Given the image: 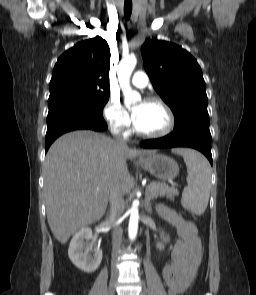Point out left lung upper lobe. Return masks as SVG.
<instances>
[{
    "instance_id": "1",
    "label": "left lung upper lobe",
    "mask_w": 256,
    "mask_h": 295,
    "mask_svg": "<svg viewBox=\"0 0 256 295\" xmlns=\"http://www.w3.org/2000/svg\"><path fill=\"white\" fill-rule=\"evenodd\" d=\"M141 53L154 89L174 114V130L187 125L209 128L206 85L193 56L176 44L156 39L146 41Z\"/></svg>"
}]
</instances>
